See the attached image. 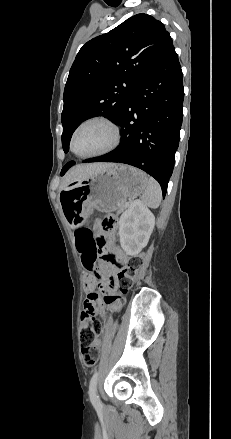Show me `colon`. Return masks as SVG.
Returning <instances> with one entry per match:
<instances>
[{"mask_svg":"<svg viewBox=\"0 0 231 439\" xmlns=\"http://www.w3.org/2000/svg\"><path fill=\"white\" fill-rule=\"evenodd\" d=\"M114 225V218L107 216L102 219L100 228L103 231H109ZM99 240L105 241L104 236H100ZM97 252L95 250L87 252L82 257L83 267L92 273L97 279L101 278V273L95 267V261L97 258ZM143 264V258L141 255H135L131 257L127 262L119 266L118 272L114 275L113 289L109 292H105L103 301L109 306L115 307L123 301V295L132 287L133 282L141 269ZM118 288V293H114L115 288ZM101 332V321L96 316L93 309H84L81 314V331H80V343L81 352L84 363L92 367L96 364L99 352L94 346L99 334Z\"/></svg>","mask_w":231,"mask_h":439,"instance_id":"1","label":"colon"}]
</instances>
